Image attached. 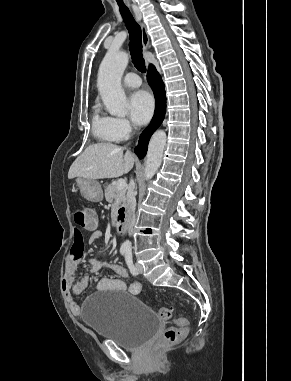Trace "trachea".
Here are the masks:
<instances>
[{
  "label": "trachea",
  "instance_id": "trachea-1",
  "mask_svg": "<svg viewBox=\"0 0 291 381\" xmlns=\"http://www.w3.org/2000/svg\"><path fill=\"white\" fill-rule=\"evenodd\" d=\"M118 6L122 18L129 32L130 39V53L132 58V63L137 68L138 71L145 73V61L142 56V34L141 28L138 23L134 20L129 9L125 6L122 1H118Z\"/></svg>",
  "mask_w": 291,
  "mask_h": 381
}]
</instances>
